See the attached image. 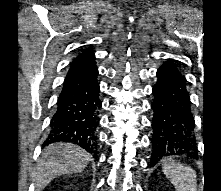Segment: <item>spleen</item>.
<instances>
[{
	"label": "spleen",
	"instance_id": "obj_1",
	"mask_svg": "<svg viewBox=\"0 0 221 191\" xmlns=\"http://www.w3.org/2000/svg\"><path fill=\"white\" fill-rule=\"evenodd\" d=\"M162 168L176 191H197L196 172L190 166L169 159L163 162Z\"/></svg>",
	"mask_w": 221,
	"mask_h": 191
}]
</instances>
